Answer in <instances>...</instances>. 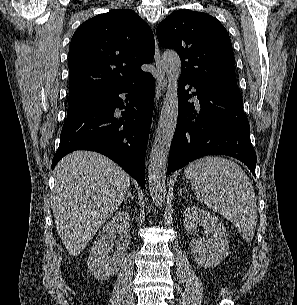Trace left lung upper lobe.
Instances as JSON below:
<instances>
[{
    "mask_svg": "<svg viewBox=\"0 0 297 305\" xmlns=\"http://www.w3.org/2000/svg\"><path fill=\"white\" fill-rule=\"evenodd\" d=\"M157 38L162 47L179 54L181 76L196 83L236 80L229 34L209 14L175 11L158 25Z\"/></svg>",
    "mask_w": 297,
    "mask_h": 305,
    "instance_id": "1",
    "label": "left lung upper lobe"
}]
</instances>
